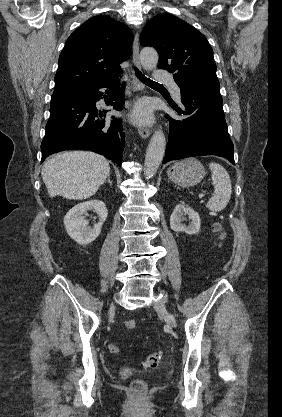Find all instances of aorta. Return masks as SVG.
<instances>
[{"instance_id": "1", "label": "aorta", "mask_w": 282, "mask_h": 417, "mask_svg": "<svg viewBox=\"0 0 282 417\" xmlns=\"http://www.w3.org/2000/svg\"><path fill=\"white\" fill-rule=\"evenodd\" d=\"M140 62L146 70H152L157 66L158 52L152 46H145L140 52ZM166 138L163 130H155L146 150L144 162V174L150 178L156 174L164 156Z\"/></svg>"}]
</instances>
